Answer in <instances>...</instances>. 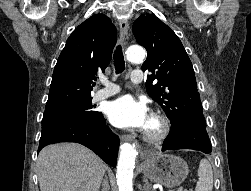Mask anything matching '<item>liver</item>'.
Instances as JSON below:
<instances>
[{"mask_svg": "<svg viewBox=\"0 0 251 191\" xmlns=\"http://www.w3.org/2000/svg\"><path fill=\"white\" fill-rule=\"evenodd\" d=\"M41 191H99L105 163L81 143H53L37 159Z\"/></svg>", "mask_w": 251, "mask_h": 191, "instance_id": "obj_1", "label": "liver"}]
</instances>
